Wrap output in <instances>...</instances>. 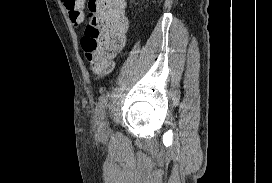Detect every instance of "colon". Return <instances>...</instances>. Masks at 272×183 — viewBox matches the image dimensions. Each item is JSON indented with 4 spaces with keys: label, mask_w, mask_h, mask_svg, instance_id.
<instances>
[{
    "label": "colon",
    "mask_w": 272,
    "mask_h": 183,
    "mask_svg": "<svg viewBox=\"0 0 272 183\" xmlns=\"http://www.w3.org/2000/svg\"><path fill=\"white\" fill-rule=\"evenodd\" d=\"M73 23L85 22L81 46L91 69L107 72L122 50L127 29L125 0H62Z\"/></svg>",
    "instance_id": "1"
}]
</instances>
